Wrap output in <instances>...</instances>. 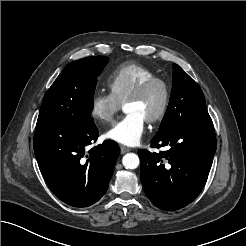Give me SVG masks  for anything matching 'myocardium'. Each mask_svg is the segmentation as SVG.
Returning <instances> with one entry per match:
<instances>
[{
  "mask_svg": "<svg viewBox=\"0 0 246 246\" xmlns=\"http://www.w3.org/2000/svg\"><path fill=\"white\" fill-rule=\"evenodd\" d=\"M159 85L161 86L163 90V100L161 103V106L159 110L152 115L151 117L147 118L146 121L150 124L157 123L161 121L169 108L170 105V99H171V89L168 84V82L158 76L151 77L144 81L141 85H139L125 100V104L131 101H137L142 99L150 90L153 86Z\"/></svg>",
  "mask_w": 246,
  "mask_h": 246,
  "instance_id": "myocardium-1",
  "label": "myocardium"
}]
</instances>
